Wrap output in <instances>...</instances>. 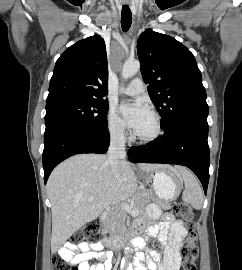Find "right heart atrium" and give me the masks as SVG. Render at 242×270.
<instances>
[{"instance_id":"obj_1","label":"right heart atrium","mask_w":242,"mask_h":270,"mask_svg":"<svg viewBox=\"0 0 242 270\" xmlns=\"http://www.w3.org/2000/svg\"><path fill=\"white\" fill-rule=\"evenodd\" d=\"M107 130L110 137L117 142H123L127 138L125 124L113 108L109 110L107 115Z\"/></svg>"}]
</instances>
